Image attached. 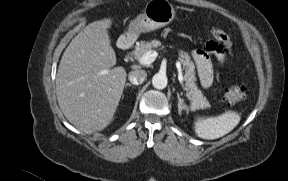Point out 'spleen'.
<instances>
[{
  "label": "spleen",
  "mask_w": 288,
  "mask_h": 181,
  "mask_svg": "<svg viewBox=\"0 0 288 181\" xmlns=\"http://www.w3.org/2000/svg\"><path fill=\"white\" fill-rule=\"evenodd\" d=\"M240 119L234 111H227L217 117H197L194 122L195 133L202 139H217L232 131Z\"/></svg>",
  "instance_id": "spleen-1"
}]
</instances>
